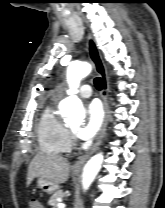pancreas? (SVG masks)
Masks as SVG:
<instances>
[{
  "instance_id": "obj_1",
  "label": "pancreas",
  "mask_w": 165,
  "mask_h": 208,
  "mask_svg": "<svg viewBox=\"0 0 165 208\" xmlns=\"http://www.w3.org/2000/svg\"><path fill=\"white\" fill-rule=\"evenodd\" d=\"M65 197V193L62 190H57L54 192V194L50 197L48 204L52 206L53 208H56L58 202V198Z\"/></svg>"
}]
</instances>
